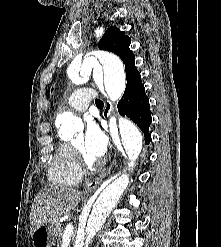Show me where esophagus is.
Wrapping results in <instances>:
<instances>
[{
	"instance_id": "esophagus-1",
	"label": "esophagus",
	"mask_w": 221,
	"mask_h": 247,
	"mask_svg": "<svg viewBox=\"0 0 221 247\" xmlns=\"http://www.w3.org/2000/svg\"><path fill=\"white\" fill-rule=\"evenodd\" d=\"M113 165H114V161L110 164V166L107 168L106 171L102 172L98 177L94 178L91 182H89L85 186L84 192L87 193L95 189L100 184V182L105 178V176H107L111 172Z\"/></svg>"
}]
</instances>
